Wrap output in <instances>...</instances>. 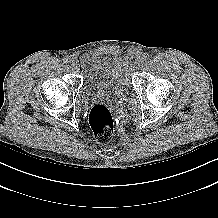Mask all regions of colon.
Returning a JSON list of instances; mask_svg holds the SVG:
<instances>
[{"label":"colon","instance_id":"1","mask_svg":"<svg viewBox=\"0 0 218 218\" xmlns=\"http://www.w3.org/2000/svg\"><path fill=\"white\" fill-rule=\"evenodd\" d=\"M89 124L97 142L107 143L110 141L114 132V118L106 105L96 104L91 108Z\"/></svg>","mask_w":218,"mask_h":218}]
</instances>
